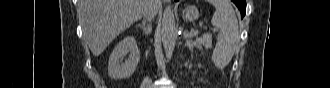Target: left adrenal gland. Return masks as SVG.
Returning a JSON list of instances; mask_svg holds the SVG:
<instances>
[{"label": "left adrenal gland", "instance_id": "left-adrenal-gland-1", "mask_svg": "<svg viewBox=\"0 0 330 88\" xmlns=\"http://www.w3.org/2000/svg\"><path fill=\"white\" fill-rule=\"evenodd\" d=\"M185 47H188L191 51L193 49V46L190 45L188 41L185 43Z\"/></svg>", "mask_w": 330, "mask_h": 88}]
</instances>
